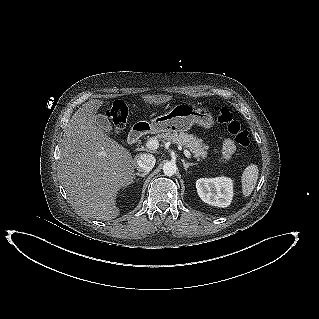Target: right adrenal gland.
I'll return each instance as SVG.
<instances>
[{"label":"right adrenal gland","instance_id":"2a0ac1e0","mask_svg":"<svg viewBox=\"0 0 319 319\" xmlns=\"http://www.w3.org/2000/svg\"><path fill=\"white\" fill-rule=\"evenodd\" d=\"M147 174H148V173H139V172H138V173H135V174H134V179H136L137 176H140V177L143 178V177H145ZM133 182H135V181H133Z\"/></svg>","mask_w":319,"mask_h":319}]
</instances>
